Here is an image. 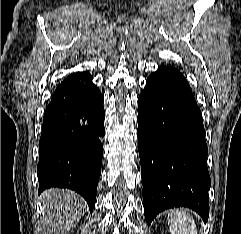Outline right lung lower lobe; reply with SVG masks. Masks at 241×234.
Wrapping results in <instances>:
<instances>
[{"mask_svg":"<svg viewBox=\"0 0 241 234\" xmlns=\"http://www.w3.org/2000/svg\"><path fill=\"white\" fill-rule=\"evenodd\" d=\"M104 118L103 96L89 73H73L57 86L39 141V193L50 187L69 188L93 210L101 174Z\"/></svg>","mask_w":241,"mask_h":234,"instance_id":"1","label":"right lung lower lobe"}]
</instances>
